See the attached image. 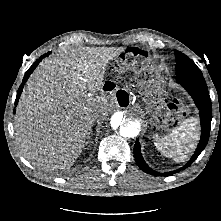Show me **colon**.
Wrapping results in <instances>:
<instances>
[{
    "instance_id": "colon-1",
    "label": "colon",
    "mask_w": 221,
    "mask_h": 221,
    "mask_svg": "<svg viewBox=\"0 0 221 221\" xmlns=\"http://www.w3.org/2000/svg\"><path fill=\"white\" fill-rule=\"evenodd\" d=\"M146 55L140 49H132L128 50L121 59L120 65L121 66H130L136 62H142L146 59ZM182 110V106L179 104L178 111Z\"/></svg>"
}]
</instances>
